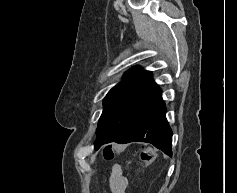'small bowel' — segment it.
Returning a JSON list of instances; mask_svg holds the SVG:
<instances>
[{"label":"small bowel","instance_id":"1","mask_svg":"<svg viewBox=\"0 0 237 193\" xmlns=\"http://www.w3.org/2000/svg\"><path fill=\"white\" fill-rule=\"evenodd\" d=\"M128 187V179L123 175L119 165H113L109 178L110 193H126Z\"/></svg>","mask_w":237,"mask_h":193}]
</instances>
